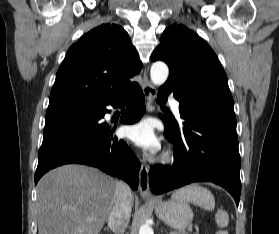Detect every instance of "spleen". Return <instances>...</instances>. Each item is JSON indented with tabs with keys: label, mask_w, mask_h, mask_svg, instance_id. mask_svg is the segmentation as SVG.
<instances>
[{
	"label": "spleen",
	"mask_w": 279,
	"mask_h": 234,
	"mask_svg": "<svg viewBox=\"0 0 279 234\" xmlns=\"http://www.w3.org/2000/svg\"><path fill=\"white\" fill-rule=\"evenodd\" d=\"M173 200L193 203L202 207L205 210H213L215 207V199L213 194L206 188L198 186L197 184L188 185L177 190L172 195ZM215 221L219 228H225L229 224V215L223 210L218 209L215 214ZM216 234H228L226 231H218Z\"/></svg>",
	"instance_id": "1"
}]
</instances>
